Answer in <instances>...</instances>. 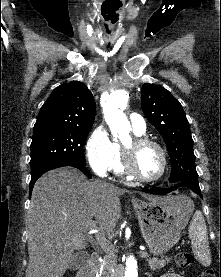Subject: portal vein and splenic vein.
I'll list each match as a JSON object with an SVG mask.
<instances>
[{"mask_svg":"<svg viewBox=\"0 0 221 277\" xmlns=\"http://www.w3.org/2000/svg\"><path fill=\"white\" fill-rule=\"evenodd\" d=\"M96 227H97V222H96V221H91V222L89 223V231H90V232L94 231V230L96 229ZM95 237H96V240H97L98 244H99L102 248H104V247L106 246L107 242H108V241L106 240L105 236H104L102 233L97 232V233L95 234ZM140 254H141L142 256L148 255L147 252H144V251L140 252Z\"/></svg>","mask_w":221,"mask_h":277,"instance_id":"obj_1","label":"portal vein and splenic vein"}]
</instances>
